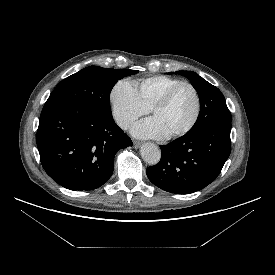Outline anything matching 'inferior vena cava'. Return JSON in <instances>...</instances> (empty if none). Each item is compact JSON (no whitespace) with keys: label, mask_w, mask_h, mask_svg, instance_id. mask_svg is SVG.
Returning a JSON list of instances; mask_svg holds the SVG:
<instances>
[{"label":"inferior vena cava","mask_w":275,"mask_h":275,"mask_svg":"<svg viewBox=\"0 0 275 275\" xmlns=\"http://www.w3.org/2000/svg\"><path fill=\"white\" fill-rule=\"evenodd\" d=\"M128 125H129V123H128V122H125V123L122 124V127L127 128Z\"/></svg>","instance_id":"602c4592"}]
</instances>
